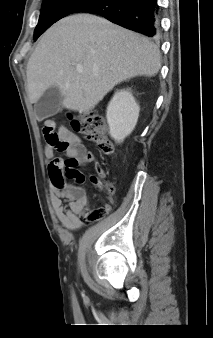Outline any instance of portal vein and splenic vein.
<instances>
[{
	"label": "portal vein and splenic vein",
	"instance_id": "obj_1",
	"mask_svg": "<svg viewBox=\"0 0 213 338\" xmlns=\"http://www.w3.org/2000/svg\"><path fill=\"white\" fill-rule=\"evenodd\" d=\"M76 71L81 74L83 73V68L81 66H77Z\"/></svg>",
	"mask_w": 213,
	"mask_h": 338
}]
</instances>
